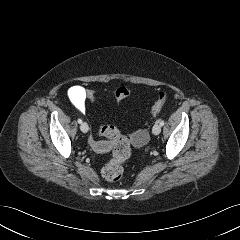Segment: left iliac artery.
<instances>
[{"instance_id": "44dca946", "label": "left iliac artery", "mask_w": 240, "mask_h": 240, "mask_svg": "<svg viewBox=\"0 0 240 240\" xmlns=\"http://www.w3.org/2000/svg\"><path fill=\"white\" fill-rule=\"evenodd\" d=\"M159 123H160L161 126H163L164 125V120H161Z\"/></svg>"}]
</instances>
